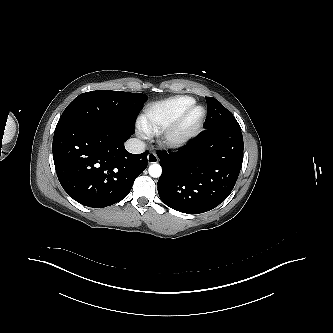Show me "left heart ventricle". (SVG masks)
<instances>
[{
    "mask_svg": "<svg viewBox=\"0 0 333 333\" xmlns=\"http://www.w3.org/2000/svg\"><path fill=\"white\" fill-rule=\"evenodd\" d=\"M199 113H200V111L199 110H196L195 112H194V117H197L198 115H199Z\"/></svg>",
    "mask_w": 333,
    "mask_h": 333,
    "instance_id": "b2bd125f",
    "label": "left heart ventricle"
}]
</instances>
